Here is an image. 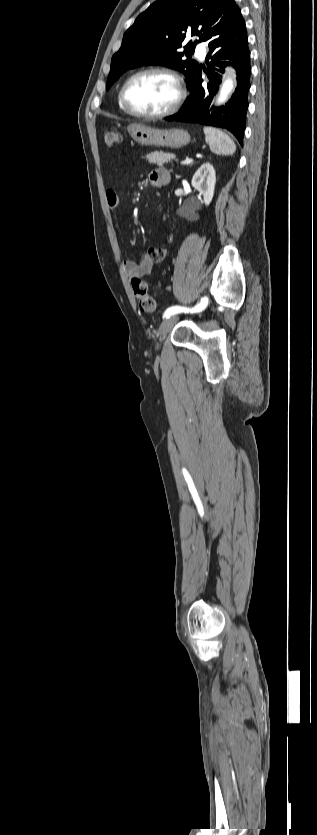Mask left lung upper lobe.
<instances>
[{"label": "left lung upper lobe", "mask_w": 317, "mask_h": 835, "mask_svg": "<svg viewBox=\"0 0 317 835\" xmlns=\"http://www.w3.org/2000/svg\"><path fill=\"white\" fill-rule=\"evenodd\" d=\"M229 0H158L141 13L125 32L121 48L111 60L106 90L128 69L155 64L181 71L187 84L199 64L190 60L198 42L208 41L221 26ZM190 40L184 52L178 51ZM187 59H184V56Z\"/></svg>", "instance_id": "left-lung-upper-lobe-1"}]
</instances>
